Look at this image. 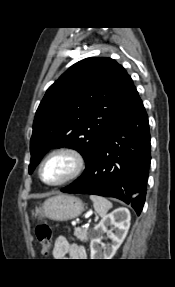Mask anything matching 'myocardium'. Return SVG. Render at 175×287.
<instances>
[{
  "mask_svg": "<svg viewBox=\"0 0 175 287\" xmlns=\"http://www.w3.org/2000/svg\"><path fill=\"white\" fill-rule=\"evenodd\" d=\"M61 154L68 155L69 157L72 158L74 162L73 170L64 179L58 182L48 183L43 179V175H42L43 167L50 158L56 155H61ZM85 168H86V158L82 152L72 147H60V148H56L52 150L43 158V160L41 161L39 165L38 175H39L40 180L45 185L50 186V187H59V186H63L77 179L84 172Z\"/></svg>",
  "mask_w": 175,
  "mask_h": 287,
  "instance_id": "f54148a6",
  "label": "myocardium"
}]
</instances>
